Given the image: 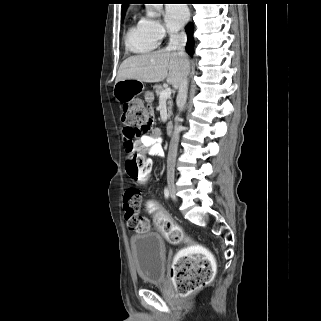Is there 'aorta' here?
Returning <instances> with one entry per match:
<instances>
[{
    "mask_svg": "<svg viewBox=\"0 0 321 321\" xmlns=\"http://www.w3.org/2000/svg\"><path fill=\"white\" fill-rule=\"evenodd\" d=\"M147 16L155 17L157 12L162 9V4H146Z\"/></svg>",
    "mask_w": 321,
    "mask_h": 321,
    "instance_id": "obj_1",
    "label": "aorta"
}]
</instances>
